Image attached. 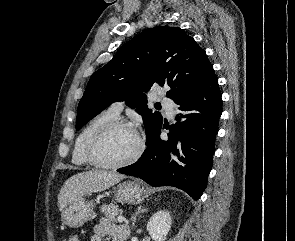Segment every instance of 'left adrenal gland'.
Segmentation results:
<instances>
[{
	"label": "left adrenal gland",
	"instance_id": "left-adrenal-gland-1",
	"mask_svg": "<svg viewBox=\"0 0 295 241\" xmlns=\"http://www.w3.org/2000/svg\"><path fill=\"white\" fill-rule=\"evenodd\" d=\"M146 211H147L146 208H143L141 205L138 206L137 211L135 212L134 216L132 217V230L135 228V222H136L137 215L140 213H144Z\"/></svg>",
	"mask_w": 295,
	"mask_h": 241
}]
</instances>
